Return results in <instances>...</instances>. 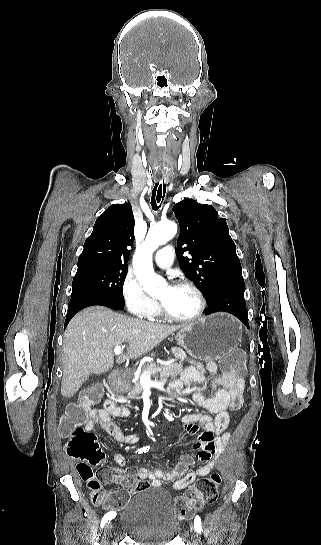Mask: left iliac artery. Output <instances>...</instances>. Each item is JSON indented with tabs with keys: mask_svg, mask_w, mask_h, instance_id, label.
Instances as JSON below:
<instances>
[{
	"mask_svg": "<svg viewBox=\"0 0 321 545\" xmlns=\"http://www.w3.org/2000/svg\"><path fill=\"white\" fill-rule=\"evenodd\" d=\"M194 526H195V530H196L198 533H201V531H202V522H201V519H200L199 516H196V517H195Z\"/></svg>",
	"mask_w": 321,
	"mask_h": 545,
	"instance_id": "1",
	"label": "left iliac artery"
}]
</instances>
